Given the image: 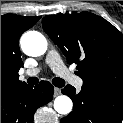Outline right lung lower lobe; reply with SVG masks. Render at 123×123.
Returning <instances> with one entry per match:
<instances>
[{
    "instance_id": "right-lung-lower-lobe-1",
    "label": "right lung lower lobe",
    "mask_w": 123,
    "mask_h": 123,
    "mask_svg": "<svg viewBox=\"0 0 123 123\" xmlns=\"http://www.w3.org/2000/svg\"><path fill=\"white\" fill-rule=\"evenodd\" d=\"M54 87L47 81L18 91L1 92V123H33L34 113L53 98Z\"/></svg>"
}]
</instances>
